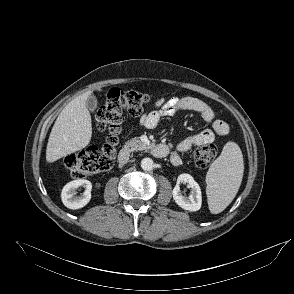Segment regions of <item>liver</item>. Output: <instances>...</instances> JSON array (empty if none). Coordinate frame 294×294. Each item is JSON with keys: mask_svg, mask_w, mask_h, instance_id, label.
I'll use <instances>...</instances> for the list:
<instances>
[{"mask_svg": "<svg viewBox=\"0 0 294 294\" xmlns=\"http://www.w3.org/2000/svg\"><path fill=\"white\" fill-rule=\"evenodd\" d=\"M91 93L88 91L74 98L57 117L47 143V162H55L89 144L92 123L86 101Z\"/></svg>", "mask_w": 294, "mask_h": 294, "instance_id": "1", "label": "liver"}]
</instances>
